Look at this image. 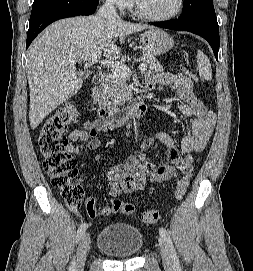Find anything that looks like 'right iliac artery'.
I'll return each mask as SVG.
<instances>
[{"mask_svg": "<svg viewBox=\"0 0 253 271\" xmlns=\"http://www.w3.org/2000/svg\"><path fill=\"white\" fill-rule=\"evenodd\" d=\"M88 225L87 223H82L80 225V227L78 228L77 231V236L76 239L77 241L82 237V235L85 233L86 229H87ZM69 271H75V261H72L70 267H69Z\"/></svg>", "mask_w": 253, "mask_h": 271, "instance_id": "right-iliac-artery-1", "label": "right iliac artery"}]
</instances>
